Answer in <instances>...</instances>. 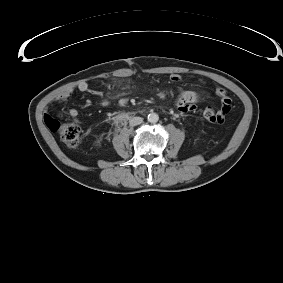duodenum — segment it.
<instances>
[{"label": "duodenum", "instance_id": "obj_1", "mask_svg": "<svg viewBox=\"0 0 283 283\" xmlns=\"http://www.w3.org/2000/svg\"><path fill=\"white\" fill-rule=\"evenodd\" d=\"M133 117H134L133 113H124L120 115L118 119L121 123H125L126 121L130 120Z\"/></svg>", "mask_w": 283, "mask_h": 283}]
</instances>
